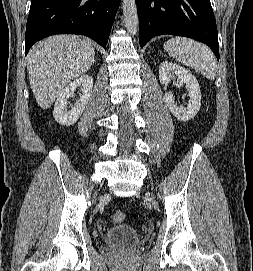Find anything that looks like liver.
Returning a JSON list of instances; mask_svg holds the SVG:
<instances>
[{
    "mask_svg": "<svg viewBox=\"0 0 253 271\" xmlns=\"http://www.w3.org/2000/svg\"><path fill=\"white\" fill-rule=\"evenodd\" d=\"M94 56L91 42L74 35H55L35 44L27 56V70L38 105L51 107L69 82L90 69Z\"/></svg>",
    "mask_w": 253,
    "mask_h": 271,
    "instance_id": "obj_1",
    "label": "liver"
}]
</instances>
